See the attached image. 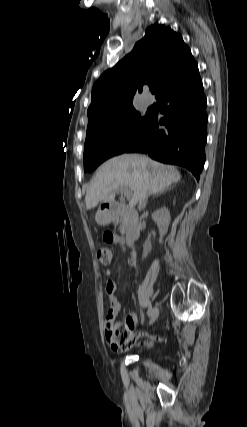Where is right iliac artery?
<instances>
[{
	"label": "right iliac artery",
	"instance_id": "1",
	"mask_svg": "<svg viewBox=\"0 0 247 427\" xmlns=\"http://www.w3.org/2000/svg\"><path fill=\"white\" fill-rule=\"evenodd\" d=\"M152 310L153 309L151 307L148 309L147 313H148L149 316L151 315Z\"/></svg>",
	"mask_w": 247,
	"mask_h": 427
}]
</instances>
